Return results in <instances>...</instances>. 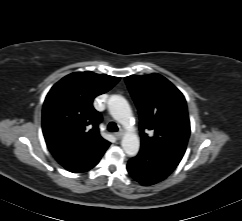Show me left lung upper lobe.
Here are the masks:
<instances>
[{"label": "left lung upper lobe", "instance_id": "1", "mask_svg": "<svg viewBox=\"0 0 242 221\" xmlns=\"http://www.w3.org/2000/svg\"><path fill=\"white\" fill-rule=\"evenodd\" d=\"M140 117L141 148L179 164L190 135L183 94L159 74L125 78ZM153 135L148 136L147 132Z\"/></svg>", "mask_w": 242, "mask_h": 221}]
</instances>
